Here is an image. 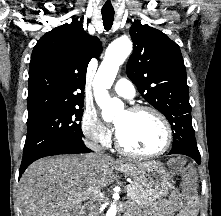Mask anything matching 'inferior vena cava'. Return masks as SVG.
Wrapping results in <instances>:
<instances>
[{
	"label": "inferior vena cava",
	"mask_w": 221,
	"mask_h": 216,
	"mask_svg": "<svg viewBox=\"0 0 221 216\" xmlns=\"http://www.w3.org/2000/svg\"><path fill=\"white\" fill-rule=\"evenodd\" d=\"M86 145L90 148L94 153L88 154V158L93 165H96V159L102 155V148L95 141H86ZM89 216H97V207L95 205L90 207Z\"/></svg>",
	"instance_id": "inferior-vena-cava-1"
}]
</instances>
